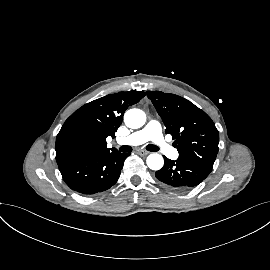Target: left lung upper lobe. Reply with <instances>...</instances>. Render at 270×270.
<instances>
[{"label": "left lung upper lobe", "mask_w": 270, "mask_h": 270, "mask_svg": "<svg viewBox=\"0 0 270 270\" xmlns=\"http://www.w3.org/2000/svg\"><path fill=\"white\" fill-rule=\"evenodd\" d=\"M166 126V134L175 140L179 158L212 170L218 153L219 133L211 118L185 98L159 91H147Z\"/></svg>", "instance_id": "left-lung-upper-lobe-1"}]
</instances>
